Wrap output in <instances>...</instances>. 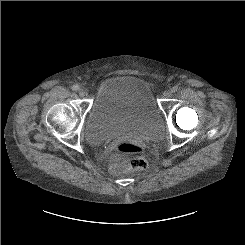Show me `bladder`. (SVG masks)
I'll return each instance as SVG.
<instances>
[{
    "label": "bladder",
    "mask_w": 245,
    "mask_h": 245,
    "mask_svg": "<svg viewBox=\"0 0 245 245\" xmlns=\"http://www.w3.org/2000/svg\"><path fill=\"white\" fill-rule=\"evenodd\" d=\"M163 127L161 110L149 83L135 74H117L101 83L86 115L89 143H112L131 136L154 139Z\"/></svg>",
    "instance_id": "bladder-1"
}]
</instances>
